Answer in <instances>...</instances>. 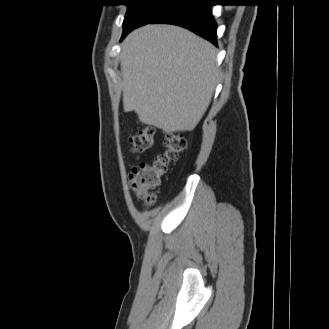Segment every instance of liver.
Listing matches in <instances>:
<instances>
[{"label": "liver", "mask_w": 329, "mask_h": 329, "mask_svg": "<svg viewBox=\"0 0 329 329\" xmlns=\"http://www.w3.org/2000/svg\"><path fill=\"white\" fill-rule=\"evenodd\" d=\"M124 111L166 133L191 131L206 112L218 80L216 50L173 25H146L123 42Z\"/></svg>", "instance_id": "liver-1"}]
</instances>
